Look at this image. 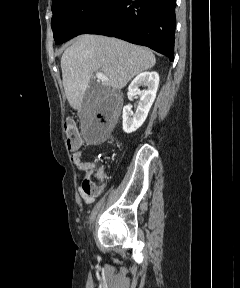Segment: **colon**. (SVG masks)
<instances>
[{
  "mask_svg": "<svg viewBox=\"0 0 240 288\" xmlns=\"http://www.w3.org/2000/svg\"><path fill=\"white\" fill-rule=\"evenodd\" d=\"M64 131L67 138V146L70 150H76L82 145V139L75 123L67 120L64 123ZM103 176L100 172L88 173L82 184V191L87 196H95L102 189Z\"/></svg>",
  "mask_w": 240,
  "mask_h": 288,
  "instance_id": "obj_1",
  "label": "colon"
}]
</instances>
